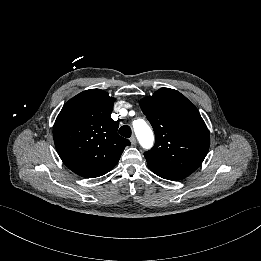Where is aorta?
Here are the masks:
<instances>
[{"label":"aorta","instance_id":"aorta-1","mask_svg":"<svg viewBox=\"0 0 261 261\" xmlns=\"http://www.w3.org/2000/svg\"><path fill=\"white\" fill-rule=\"evenodd\" d=\"M135 134L141 146L150 149L154 142L153 132L143 119H137L133 122Z\"/></svg>","mask_w":261,"mask_h":261}]
</instances>
